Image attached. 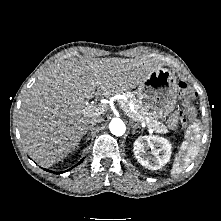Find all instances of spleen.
I'll return each mask as SVG.
<instances>
[{
	"label": "spleen",
	"mask_w": 221,
	"mask_h": 221,
	"mask_svg": "<svg viewBox=\"0 0 221 221\" xmlns=\"http://www.w3.org/2000/svg\"><path fill=\"white\" fill-rule=\"evenodd\" d=\"M200 125L194 122L191 129L183 141L180 152L175 156L171 175L179 174L184 171L198 155L199 141L201 135L199 134Z\"/></svg>",
	"instance_id": "spleen-1"
}]
</instances>
